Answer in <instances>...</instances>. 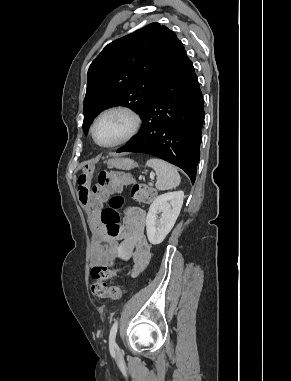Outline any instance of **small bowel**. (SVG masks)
<instances>
[{"instance_id":"small-bowel-1","label":"small bowel","mask_w":291,"mask_h":381,"mask_svg":"<svg viewBox=\"0 0 291 381\" xmlns=\"http://www.w3.org/2000/svg\"><path fill=\"white\" fill-rule=\"evenodd\" d=\"M91 213L93 219L98 221L100 208H94ZM146 217V211L138 207L127 211L120 244L102 227H98L94 235L91 264L112 266L120 254L123 259L133 260V276L143 271L151 258V245L145 235Z\"/></svg>"}]
</instances>
